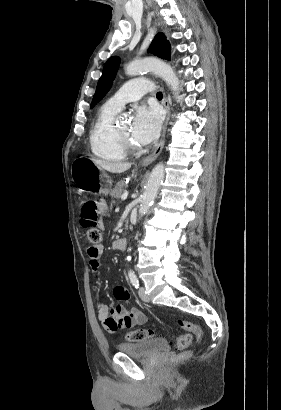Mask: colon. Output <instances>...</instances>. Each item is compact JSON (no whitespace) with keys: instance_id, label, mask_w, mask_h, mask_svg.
<instances>
[{"instance_id":"obj_1","label":"colon","mask_w":281,"mask_h":410,"mask_svg":"<svg viewBox=\"0 0 281 410\" xmlns=\"http://www.w3.org/2000/svg\"><path fill=\"white\" fill-rule=\"evenodd\" d=\"M98 223V202L94 199H88L82 207L81 224L86 229V235L89 242L94 245L100 244L102 240V233L98 228ZM179 326L185 332L171 340V344L175 350L183 351L192 344L194 336L198 339H201L203 336V330L197 324L180 320ZM157 336L158 334L152 329L140 328L128 332L126 339L129 342H140ZM186 355V352L178 353L172 357V361L178 362Z\"/></svg>"}]
</instances>
